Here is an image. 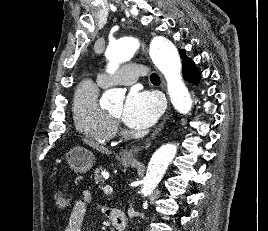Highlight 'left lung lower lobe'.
I'll return each mask as SVG.
<instances>
[{"label":"left lung lower lobe","instance_id":"0a47b994","mask_svg":"<svg viewBox=\"0 0 268 231\" xmlns=\"http://www.w3.org/2000/svg\"><path fill=\"white\" fill-rule=\"evenodd\" d=\"M183 65V75L188 81H192L193 83L197 84L200 78L199 73L196 71L195 63L186 58L182 61Z\"/></svg>","mask_w":268,"mask_h":231}]
</instances>
